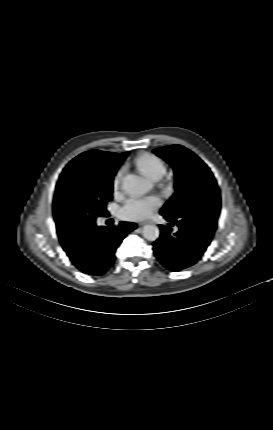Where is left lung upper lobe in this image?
Returning a JSON list of instances; mask_svg holds the SVG:
<instances>
[{
    "label": "left lung upper lobe",
    "instance_id": "1",
    "mask_svg": "<svg viewBox=\"0 0 273 430\" xmlns=\"http://www.w3.org/2000/svg\"><path fill=\"white\" fill-rule=\"evenodd\" d=\"M154 153L173 167L176 176V192L161 212L173 216L175 220L194 223L193 216L196 215V210L202 204H208L218 206L219 216L220 190L211 170L199 157L180 145L158 148L154 150ZM194 224L202 230H209L198 222ZM216 226L217 221L211 226V236H213Z\"/></svg>",
    "mask_w": 273,
    "mask_h": 430
}]
</instances>
